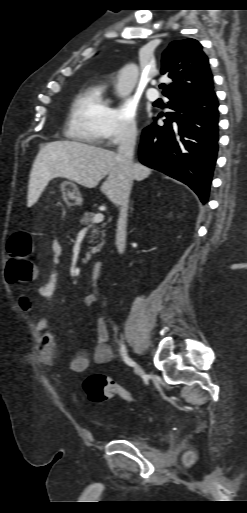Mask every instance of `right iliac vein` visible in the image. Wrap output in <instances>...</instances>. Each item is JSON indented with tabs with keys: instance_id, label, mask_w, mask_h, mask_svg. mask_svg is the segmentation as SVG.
Wrapping results in <instances>:
<instances>
[{
	"instance_id": "63e3f726",
	"label": "right iliac vein",
	"mask_w": 247,
	"mask_h": 513,
	"mask_svg": "<svg viewBox=\"0 0 247 513\" xmlns=\"http://www.w3.org/2000/svg\"><path fill=\"white\" fill-rule=\"evenodd\" d=\"M136 372H137V374H138V375L143 374V369H142V367H141V366H138V367H137V369H136Z\"/></svg>"
}]
</instances>
